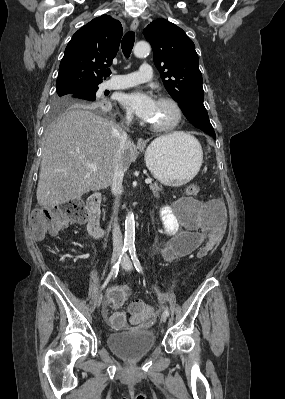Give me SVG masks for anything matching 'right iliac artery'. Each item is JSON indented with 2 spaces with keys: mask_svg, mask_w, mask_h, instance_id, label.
I'll return each mask as SVG.
<instances>
[{
  "mask_svg": "<svg viewBox=\"0 0 285 399\" xmlns=\"http://www.w3.org/2000/svg\"><path fill=\"white\" fill-rule=\"evenodd\" d=\"M127 250H128V248H123L122 254L120 255V257H119L117 263L113 266V268H112L110 274L108 275L107 279L105 280V282H104V283L102 284V286L100 287L99 292H101V291L107 286V284L109 283L111 277H112L113 275H115V274L118 273L119 264H120V262H121V258L124 257V255L126 254Z\"/></svg>",
  "mask_w": 285,
  "mask_h": 399,
  "instance_id": "obj_1",
  "label": "right iliac artery"
}]
</instances>
